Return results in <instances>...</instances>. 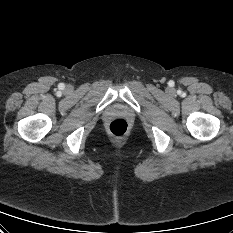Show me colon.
I'll use <instances>...</instances> for the list:
<instances>
[{"instance_id": "obj_1", "label": "colon", "mask_w": 233, "mask_h": 233, "mask_svg": "<svg viewBox=\"0 0 233 233\" xmlns=\"http://www.w3.org/2000/svg\"><path fill=\"white\" fill-rule=\"evenodd\" d=\"M108 130L113 136L122 138L128 133L129 125L125 119L118 118L111 121L108 126Z\"/></svg>"}]
</instances>
